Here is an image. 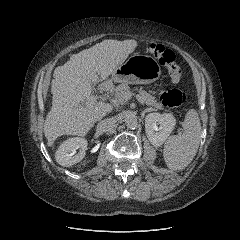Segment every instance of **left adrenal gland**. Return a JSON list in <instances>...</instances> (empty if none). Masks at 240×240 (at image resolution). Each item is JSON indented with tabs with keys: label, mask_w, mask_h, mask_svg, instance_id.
I'll use <instances>...</instances> for the list:
<instances>
[{
	"label": "left adrenal gland",
	"mask_w": 240,
	"mask_h": 240,
	"mask_svg": "<svg viewBox=\"0 0 240 240\" xmlns=\"http://www.w3.org/2000/svg\"><path fill=\"white\" fill-rule=\"evenodd\" d=\"M148 111H150V109H145V110H144V112H148Z\"/></svg>",
	"instance_id": "obj_1"
}]
</instances>
